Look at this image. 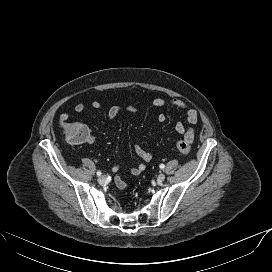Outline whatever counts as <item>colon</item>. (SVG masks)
Wrapping results in <instances>:
<instances>
[{"label": "colon", "mask_w": 272, "mask_h": 272, "mask_svg": "<svg viewBox=\"0 0 272 272\" xmlns=\"http://www.w3.org/2000/svg\"><path fill=\"white\" fill-rule=\"evenodd\" d=\"M62 130L65 137L73 143H84L90 139L87 128L81 124L64 121ZM191 136L187 135L177 142V149L182 155H187L191 149Z\"/></svg>", "instance_id": "5ec220e1"}]
</instances>
